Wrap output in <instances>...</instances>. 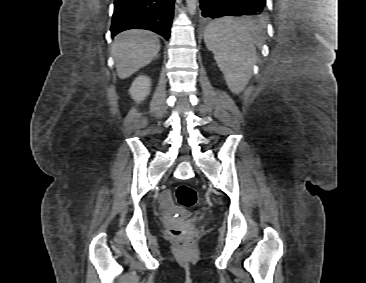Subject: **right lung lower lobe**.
Segmentation results:
<instances>
[{"label": "right lung lower lobe", "instance_id": "obj_1", "mask_svg": "<svg viewBox=\"0 0 366 283\" xmlns=\"http://www.w3.org/2000/svg\"><path fill=\"white\" fill-rule=\"evenodd\" d=\"M175 0H115L112 38L119 32L141 28L152 30L166 40L174 14Z\"/></svg>", "mask_w": 366, "mask_h": 283}]
</instances>
